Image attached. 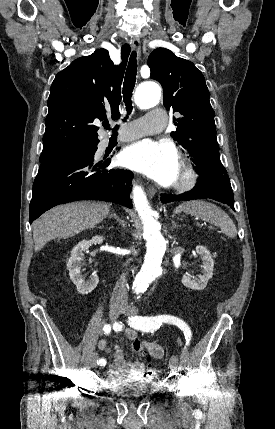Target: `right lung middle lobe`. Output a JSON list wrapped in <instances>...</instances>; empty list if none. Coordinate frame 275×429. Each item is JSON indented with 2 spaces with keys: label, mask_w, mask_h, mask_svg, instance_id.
Listing matches in <instances>:
<instances>
[{
  "label": "right lung middle lobe",
  "mask_w": 275,
  "mask_h": 429,
  "mask_svg": "<svg viewBox=\"0 0 275 429\" xmlns=\"http://www.w3.org/2000/svg\"><path fill=\"white\" fill-rule=\"evenodd\" d=\"M97 144L98 143H90V144L74 147L54 156L42 157L39 159V161L41 162V164H44V163L68 160L73 158H81V159L88 158V157L94 156L97 150Z\"/></svg>",
  "instance_id": "obj_1"
}]
</instances>
